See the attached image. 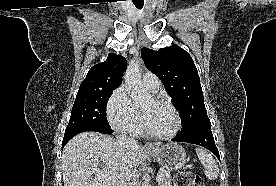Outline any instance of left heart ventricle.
<instances>
[{
  "label": "left heart ventricle",
  "instance_id": "b2bd125f",
  "mask_svg": "<svg viewBox=\"0 0 276 186\" xmlns=\"http://www.w3.org/2000/svg\"><path fill=\"white\" fill-rule=\"evenodd\" d=\"M141 114L148 129L154 133L166 134L176 126V116L166 105L157 104L153 100L141 108Z\"/></svg>",
  "mask_w": 276,
  "mask_h": 186
}]
</instances>
